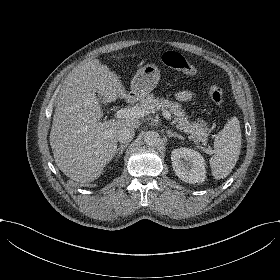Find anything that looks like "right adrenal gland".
Returning <instances> with one entry per match:
<instances>
[{"label":"right adrenal gland","instance_id":"obj_1","mask_svg":"<svg viewBox=\"0 0 280 280\" xmlns=\"http://www.w3.org/2000/svg\"><path fill=\"white\" fill-rule=\"evenodd\" d=\"M126 147H127V144L126 145L121 144L118 147H116L114 156L120 157V155L123 154V151L125 150Z\"/></svg>","mask_w":280,"mask_h":280}]
</instances>
